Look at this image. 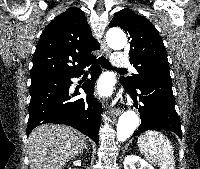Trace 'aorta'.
Masks as SVG:
<instances>
[{
    "mask_svg": "<svg viewBox=\"0 0 200 169\" xmlns=\"http://www.w3.org/2000/svg\"><path fill=\"white\" fill-rule=\"evenodd\" d=\"M107 44L114 50H121L125 47L126 35L121 30H110L106 35ZM140 120L134 110L124 112L118 121L116 134L119 141L129 138L139 126Z\"/></svg>",
    "mask_w": 200,
    "mask_h": 169,
    "instance_id": "aorta-1",
    "label": "aorta"
}]
</instances>
